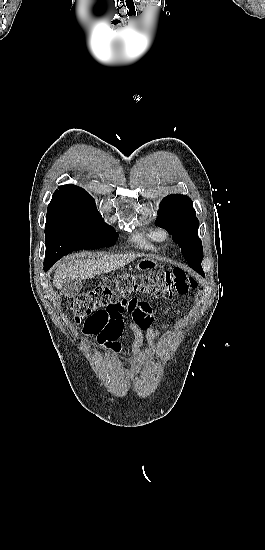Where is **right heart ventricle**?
I'll return each instance as SVG.
<instances>
[{"label": "right heart ventricle", "mask_w": 265, "mask_h": 550, "mask_svg": "<svg viewBox=\"0 0 265 550\" xmlns=\"http://www.w3.org/2000/svg\"><path fill=\"white\" fill-rule=\"evenodd\" d=\"M132 242L140 248L152 250L155 248L156 242L155 231L148 229L143 232H138L133 235Z\"/></svg>", "instance_id": "e07e8e85"}]
</instances>
